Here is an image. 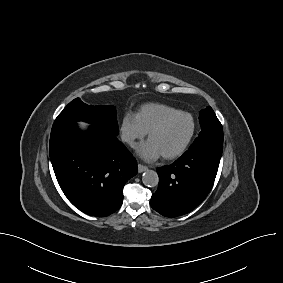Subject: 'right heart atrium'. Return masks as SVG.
I'll use <instances>...</instances> for the list:
<instances>
[{"instance_id":"1","label":"right heart atrium","mask_w":283,"mask_h":283,"mask_svg":"<svg viewBox=\"0 0 283 283\" xmlns=\"http://www.w3.org/2000/svg\"><path fill=\"white\" fill-rule=\"evenodd\" d=\"M147 132L141 126L138 117L133 112H126L120 121V136L122 141L132 147L143 139Z\"/></svg>"}]
</instances>
